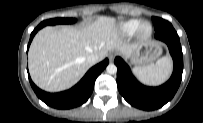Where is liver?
Wrapping results in <instances>:
<instances>
[{
    "mask_svg": "<svg viewBox=\"0 0 203 123\" xmlns=\"http://www.w3.org/2000/svg\"><path fill=\"white\" fill-rule=\"evenodd\" d=\"M138 44L125 43L116 19L100 16L80 28L47 26L34 37L29 53V72L34 83L48 92L66 90L76 84L91 67L87 57L96 54L103 60L109 51L126 57Z\"/></svg>",
    "mask_w": 203,
    "mask_h": 123,
    "instance_id": "liver-1",
    "label": "liver"
}]
</instances>
